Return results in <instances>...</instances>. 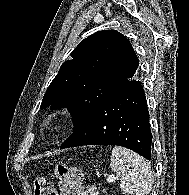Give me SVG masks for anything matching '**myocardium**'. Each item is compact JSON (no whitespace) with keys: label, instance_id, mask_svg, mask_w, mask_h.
<instances>
[{"label":"myocardium","instance_id":"1","mask_svg":"<svg viewBox=\"0 0 189 195\" xmlns=\"http://www.w3.org/2000/svg\"><path fill=\"white\" fill-rule=\"evenodd\" d=\"M69 126V117L67 115L61 114L57 115L51 123V129L54 133H62Z\"/></svg>","mask_w":189,"mask_h":195}]
</instances>
